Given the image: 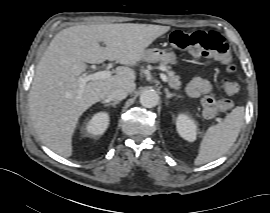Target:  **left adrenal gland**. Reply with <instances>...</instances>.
I'll use <instances>...</instances> for the list:
<instances>
[{
    "label": "left adrenal gland",
    "instance_id": "a2214340",
    "mask_svg": "<svg viewBox=\"0 0 270 213\" xmlns=\"http://www.w3.org/2000/svg\"><path fill=\"white\" fill-rule=\"evenodd\" d=\"M164 91H165V94H166V99H169V98L174 97V96H178L175 93H171L167 88H165Z\"/></svg>",
    "mask_w": 270,
    "mask_h": 213
}]
</instances>
